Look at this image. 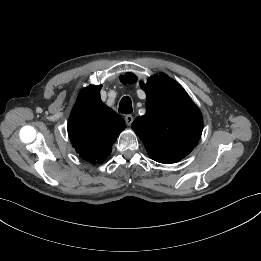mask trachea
<instances>
[{
  "label": "trachea",
  "instance_id": "obj_1",
  "mask_svg": "<svg viewBox=\"0 0 261 261\" xmlns=\"http://www.w3.org/2000/svg\"><path fill=\"white\" fill-rule=\"evenodd\" d=\"M122 114H130L132 112V102L130 97L124 96L119 104V110Z\"/></svg>",
  "mask_w": 261,
  "mask_h": 261
}]
</instances>
